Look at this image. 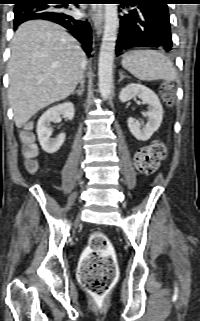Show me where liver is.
<instances>
[{
	"label": "liver",
	"instance_id": "1",
	"mask_svg": "<svg viewBox=\"0 0 200 321\" xmlns=\"http://www.w3.org/2000/svg\"><path fill=\"white\" fill-rule=\"evenodd\" d=\"M84 58L77 40L59 25L33 20L19 26L8 62V99L17 128L73 93Z\"/></svg>",
	"mask_w": 200,
	"mask_h": 321
}]
</instances>
